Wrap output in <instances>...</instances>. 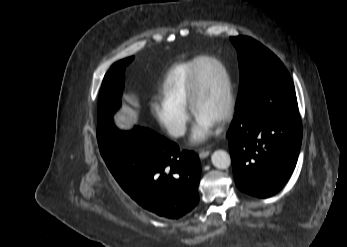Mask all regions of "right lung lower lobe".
I'll return each mask as SVG.
<instances>
[{
  "instance_id": "98d812e1",
  "label": "right lung lower lobe",
  "mask_w": 347,
  "mask_h": 247,
  "mask_svg": "<svg viewBox=\"0 0 347 247\" xmlns=\"http://www.w3.org/2000/svg\"><path fill=\"white\" fill-rule=\"evenodd\" d=\"M97 139L119 185L145 209L178 219L198 204L201 168L194 152L147 128L120 131L112 120L98 124Z\"/></svg>"
}]
</instances>
